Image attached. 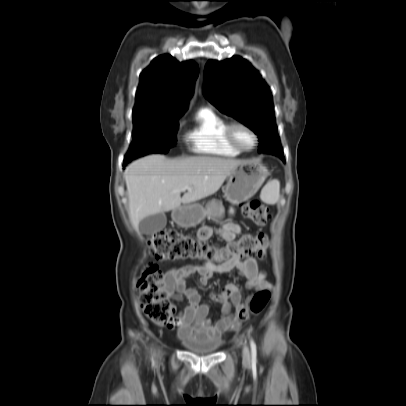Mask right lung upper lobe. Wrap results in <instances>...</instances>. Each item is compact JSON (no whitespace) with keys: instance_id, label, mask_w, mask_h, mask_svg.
I'll list each match as a JSON object with an SVG mask.
<instances>
[{"instance_id":"right-lung-upper-lobe-1","label":"right lung upper lobe","mask_w":406,"mask_h":406,"mask_svg":"<svg viewBox=\"0 0 406 406\" xmlns=\"http://www.w3.org/2000/svg\"><path fill=\"white\" fill-rule=\"evenodd\" d=\"M198 72L192 60L180 63L168 54L156 57L140 74L133 115L178 118L187 109Z\"/></svg>"}]
</instances>
